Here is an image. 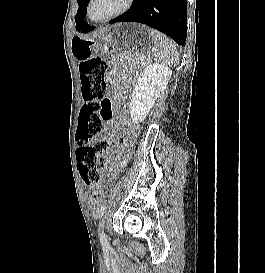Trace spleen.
<instances>
[{
    "label": "spleen",
    "instance_id": "obj_1",
    "mask_svg": "<svg viewBox=\"0 0 265 273\" xmlns=\"http://www.w3.org/2000/svg\"><path fill=\"white\" fill-rule=\"evenodd\" d=\"M147 31L152 40L156 61L165 66L177 65L179 63V53L176 49V45L159 31L150 28H148Z\"/></svg>",
    "mask_w": 265,
    "mask_h": 273
}]
</instances>
